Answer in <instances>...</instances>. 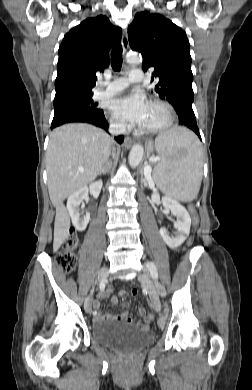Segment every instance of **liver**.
<instances>
[{"instance_id": "liver-1", "label": "liver", "mask_w": 252, "mask_h": 390, "mask_svg": "<svg viewBox=\"0 0 252 390\" xmlns=\"http://www.w3.org/2000/svg\"><path fill=\"white\" fill-rule=\"evenodd\" d=\"M112 144L108 134L89 124H67L51 133L46 170L50 200L56 208L54 252L69 236L70 217L63 201L96 179Z\"/></svg>"}]
</instances>
